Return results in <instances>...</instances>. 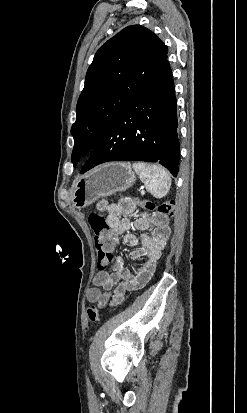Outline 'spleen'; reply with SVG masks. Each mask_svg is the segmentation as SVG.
I'll return each mask as SVG.
<instances>
[{"mask_svg": "<svg viewBox=\"0 0 247 413\" xmlns=\"http://www.w3.org/2000/svg\"><path fill=\"white\" fill-rule=\"evenodd\" d=\"M133 168L136 170L137 174H139L147 190H149L153 196L162 198V196L167 194L170 188L171 178L163 166H160V168H153L150 174H147L146 170H144L143 162H134Z\"/></svg>", "mask_w": 247, "mask_h": 413, "instance_id": "1", "label": "spleen"}]
</instances>
